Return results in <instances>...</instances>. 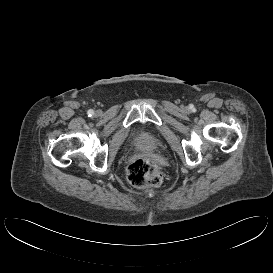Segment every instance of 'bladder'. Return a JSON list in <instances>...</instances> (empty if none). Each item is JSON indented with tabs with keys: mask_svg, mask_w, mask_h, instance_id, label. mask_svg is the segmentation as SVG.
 I'll use <instances>...</instances> for the list:
<instances>
[{
	"mask_svg": "<svg viewBox=\"0 0 273 273\" xmlns=\"http://www.w3.org/2000/svg\"><path fill=\"white\" fill-rule=\"evenodd\" d=\"M130 141L138 147L154 149L158 146L157 136L149 132L137 130L131 134Z\"/></svg>",
	"mask_w": 273,
	"mask_h": 273,
	"instance_id": "31cf9c89",
	"label": "bladder"
}]
</instances>
